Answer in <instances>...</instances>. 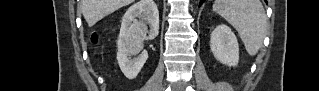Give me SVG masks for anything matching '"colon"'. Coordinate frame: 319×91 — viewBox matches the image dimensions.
Here are the masks:
<instances>
[{
    "label": "colon",
    "instance_id": "1",
    "mask_svg": "<svg viewBox=\"0 0 319 91\" xmlns=\"http://www.w3.org/2000/svg\"><path fill=\"white\" fill-rule=\"evenodd\" d=\"M92 40H93L94 42H96V41L98 40V36H97L96 34H93Z\"/></svg>",
    "mask_w": 319,
    "mask_h": 91
}]
</instances>
